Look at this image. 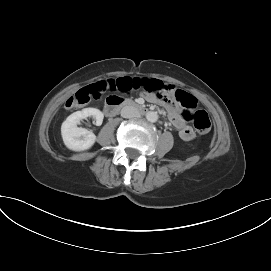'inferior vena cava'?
<instances>
[{"instance_id":"inferior-vena-cava-1","label":"inferior vena cava","mask_w":271,"mask_h":271,"mask_svg":"<svg viewBox=\"0 0 271 271\" xmlns=\"http://www.w3.org/2000/svg\"><path fill=\"white\" fill-rule=\"evenodd\" d=\"M121 116L123 118H133V117L138 116V112L132 106H125L121 110Z\"/></svg>"}]
</instances>
